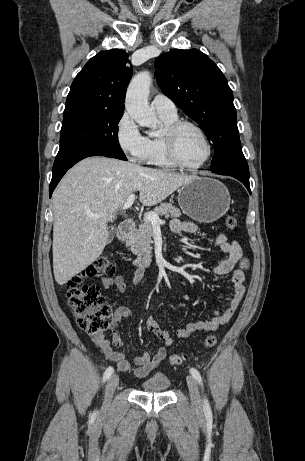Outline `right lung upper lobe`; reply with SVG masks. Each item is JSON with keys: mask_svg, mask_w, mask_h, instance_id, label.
I'll use <instances>...</instances> for the list:
<instances>
[{"mask_svg": "<svg viewBox=\"0 0 305 461\" xmlns=\"http://www.w3.org/2000/svg\"><path fill=\"white\" fill-rule=\"evenodd\" d=\"M128 54L120 49L101 51L75 77L66 107H93L124 112V99L132 76Z\"/></svg>", "mask_w": 305, "mask_h": 461, "instance_id": "cb5924a9", "label": "right lung upper lobe"}]
</instances>
